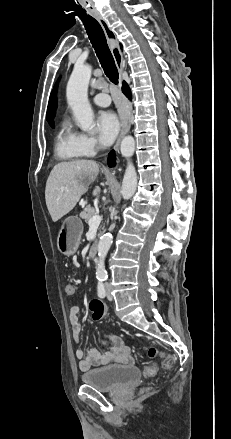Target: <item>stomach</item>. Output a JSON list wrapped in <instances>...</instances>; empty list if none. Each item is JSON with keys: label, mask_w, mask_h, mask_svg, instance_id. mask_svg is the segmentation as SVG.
<instances>
[{"label": "stomach", "mask_w": 231, "mask_h": 439, "mask_svg": "<svg viewBox=\"0 0 231 439\" xmlns=\"http://www.w3.org/2000/svg\"><path fill=\"white\" fill-rule=\"evenodd\" d=\"M82 233L83 224L81 220L76 216L67 218L58 234V250L65 256L75 254L78 250Z\"/></svg>", "instance_id": "0dacf381"}]
</instances>
